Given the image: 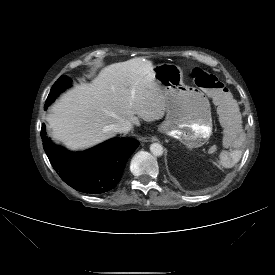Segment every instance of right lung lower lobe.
I'll return each mask as SVG.
<instances>
[{
  "label": "right lung lower lobe",
  "instance_id": "obj_1",
  "mask_svg": "<svg viewBox=\"0 0 275 275\" xmlns=\"http://www.w3.org/2000/svg\"><path fill=\"white\" fill-rule=\"evenodd\" d=\"M43 148L61 179L77 191L99 194L119 182L128 158L139 146L131 138H114L88 151L73 153L57 146L46 136L42 125Z\"/></svg>",
  "mask_w": 275,
  "mask_h": 275
}]
</instances>
